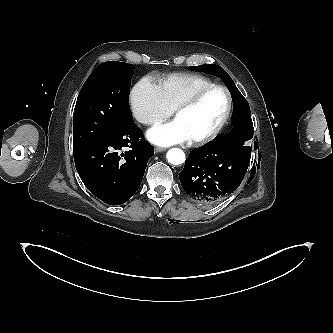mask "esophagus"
<instances>
[{"instance_id":"esophagus-1","label":"esophagus","mask_w":333,"mask_h":333,"mask_svg":"<svg viewBox=\"0 0 333 333\" xmlns=\"http://www.w3.org/2000/svg\"><path fill=\"white\" fill-rule=\"evenodd\" d=\"M155 153H159V152H162V151H164L165 149L164 148H162V147H155Z\"/></svg>"}]
</instances>
